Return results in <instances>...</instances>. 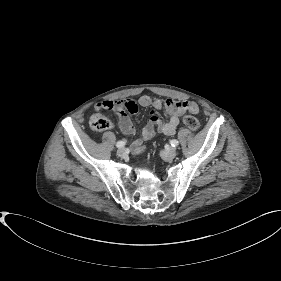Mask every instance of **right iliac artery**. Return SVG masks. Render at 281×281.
I'll return each mask as SVG.
<instances>
[{
  "mask_svg": "<svg viewBox=\"0 0 281 281\" xmlns=\"http://www.w3.org/2000/svg\"><path fill=\"white\" fill-rule=\"evenodd\" d=\"M125 144H126V141H118V142L116 143V147L121 148V147H123Z\"/></svg>",
  "mask_w": 281,
  "mask_h": 281,
  "instance_id": "obj_1",
  "label": "right iliac artery"
}]
</instances>
